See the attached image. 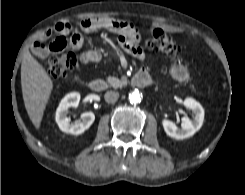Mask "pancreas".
I'll use <instances>...</instances> for the list:
<instances>
[{
  "label": "pancreas",
  "instance_id": "1",
  "mask_svg": "<svg viewBox=\"0 0 245 195\" xmlns=\"http://www.w3.org/2000/svg\"><path fill=\"white\" fill-rule=\"evenodd\" d=\"M107 83L109 86H112L114 88H118V87H121L122 85L126 84L127 79L125 77H123L121 80H119L116 77L109 76L107 78Z\"/></svg>",
  "mask_w": 245,
  "mask_h": 195
}]
</instances>
